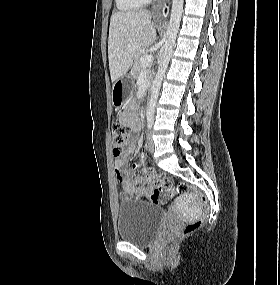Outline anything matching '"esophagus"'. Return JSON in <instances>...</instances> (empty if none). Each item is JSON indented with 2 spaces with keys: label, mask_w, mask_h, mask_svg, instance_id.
Listing matches in <instances>:
<instances>
[{
  "label": "esophagus",
  "mask_w": 280,
  "mask_h": 285,
  "mask_svg": "<svg viewBox=\"0 0 280 285\" xmlns=\"http://www.w3.org/2000/svg\"><path fill=\"white\" fill-rule=\"evenodd\" d=\"M167 1L168 0H155V3L153 4L152 7V11L156 17L158 18L162 17L163 7Z\"/></svg>",
  "instance_id": "esophagus-1"
}]
</instances>
